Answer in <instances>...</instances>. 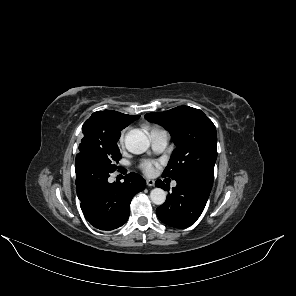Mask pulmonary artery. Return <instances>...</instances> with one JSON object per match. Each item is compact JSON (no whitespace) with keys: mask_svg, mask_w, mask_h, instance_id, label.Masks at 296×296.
I'll return each mask as SVG.
<instances>
[{"mask_svg":"<svg viewBox=\"0 0 296 296\" xmlns=\"http://www.w3.org/2000/svg\"><path fill=\"white\" fill-rule=\"evenodd\" d=\"M150 139H151L153 149L156 152H162L167 146L169 136L165 130L156 129L151 132ZM172 185L176 186L177 183L173 182Z\"/></svg>","mask_w":296,"mask_h":296,"instance_id":"obj_1","label":"pulmonary artery"}]
</instances>
